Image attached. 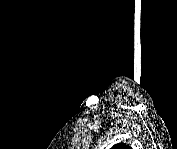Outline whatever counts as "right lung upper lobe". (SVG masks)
<instances>
[{"mask_svg": "<svg viewBox=\"0 0 177 149\" xmlns=\"http://www.w3.org/2000/svg\"><path fill=\"white\" fill-rule=\"evenodd\" d=\"M114 148H126V146L124 144H117L114 146ZM128 148V146H127Z\"/></svg>", "mask_w": 177, "mask_h": 149, "instance_id": "cb5924a9", "label": "right lung upper lobe"}]
</instances>
